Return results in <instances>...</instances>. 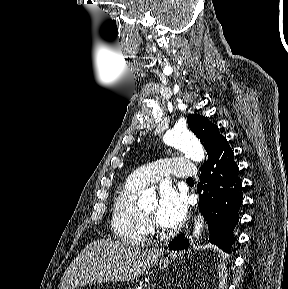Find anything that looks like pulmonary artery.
Segmentation results:
<instances>
[{
    "instance_id": "pulmonary-artery-1",
    "label": "pulmonary artery",
    "mask_w": 288,
    "mask_h": 289,
    "mask_svg": "<svg viewBox=\"0 0 288 289\" xmlns=\"http://www.w3.org/2000/svg\"><path fill=\"white\" fill-rule=\"evenodd\" d=\"M196 173V167L191 161L166 157L136 169L128 176L127 181L143 188L166 175L189 178L195 176Z\"/></svg>"
}]
</instances>
